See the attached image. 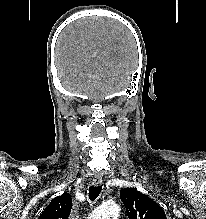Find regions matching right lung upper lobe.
Masks as SVG:
<instances>
[{
	"instance_id": "1",
	"label": "right lung upper lobe",
	"mask_w": 206,
	"mask_h": 219,
	"mask_svg": "<svg viewBox=\"0 0 206 219\" xmlns=\"http://www.w3.org/2000/svg\"><path fill=\"white\" fill-rule=\"evenodd\" d=\"M72 209L70 195L63 194L54 198L38 219H68Z\"/></svg>"
}]
</instances>
